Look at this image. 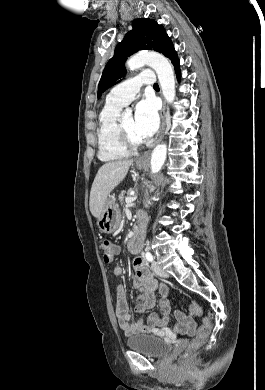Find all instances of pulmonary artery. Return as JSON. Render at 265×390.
I'll return each mask as SVG.
<instances>
[{"instance_id":"e3ab8cb5","label":"pulmonary artery","mask_w":265,"mask_h":390,"mask_svg":"<svg viewBox=\"0 0 265 390\" xmlns=\"http://www.w3.org/2000/svg\"><path fill=\"white\" fill-rule=\"evenodd\" d=\"M154 82L153 71H143L114 87L107 96V102L126 106L135 99L142 85H152Z\"/></svg>"}]
</instances>
